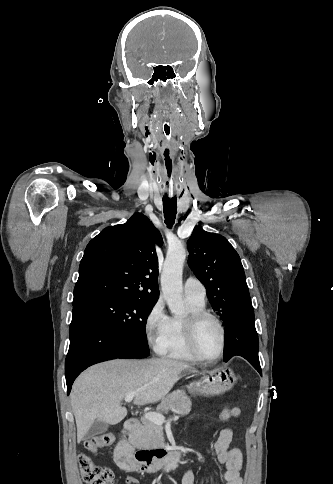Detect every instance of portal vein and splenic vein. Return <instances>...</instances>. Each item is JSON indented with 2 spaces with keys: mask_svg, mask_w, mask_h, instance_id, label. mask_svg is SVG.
Segmentation results:
<instances>
[{
  "mask_svg": "<svg viewBox=\"0 0 333 484\" xmlns=\"http://www.w3.org/2000/svg\"><path fill=\"white\" fill-rule=\"evenodd\" d=\"M136 393H131V394H128L125 396L124 400L126 402H131L133 400V398L135 397ZM144 418L149 420V421H152L153 423L155 424H158V425H162L164 422H165V417L160 414V413H156V412H147L144 414ZM179 419V416H174L173 420L176 421Z\"/></svg>",
  "mask_w": 333,
  "mask_h": 484,
  "instance_id": "portal-vein-and-splenic-vein-1",
  "label": "portal vein and splenic vein"
}]
</instances>
